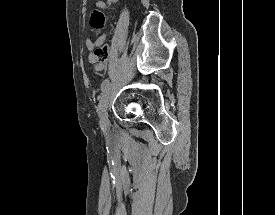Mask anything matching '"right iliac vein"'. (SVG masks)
Masks as SVG:
<instances>
[{
  "mask_svg": "<svg viewBox=\"0 0 275 215\" xmlns=\"http://www.w3.org/2000/svg\"><path fill=\"white\" fill-rule=\"evenodd\" d=\"M113 89V84H110L107 86L106 90L101 96V99L98 104V113L100 116V120L102 125L106 126L108 124V113H107V107H108V102L110 99V95L112 93Z\"/></svg>",
  "mask_w": 275,
  "mask_h": 215,
  "instance_id": "1",
  "label": "right iliac vein"
}]
</instances>
